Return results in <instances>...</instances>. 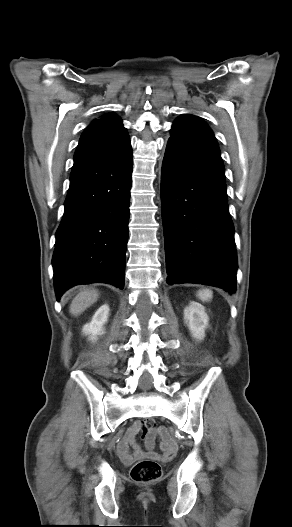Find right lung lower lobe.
I'll return each mask as SVG.
<instances>
[{
	"label": "right lung lower lobe",
	"instance_id": "obj_1",
	"mask_svg": "<svg viewBox=\"0 0 292 527\" xmlns=\"http://www.w3.org/2000/svg\"><path fill=\"white\" fill-rule=\"evenodd\" d=\"M131 180V145L74 156L52 258L57 300L78 284L123 289Z\"/></svg>",
	"mask_w": 292,
	"mask_h": 527
}]
</instances>
